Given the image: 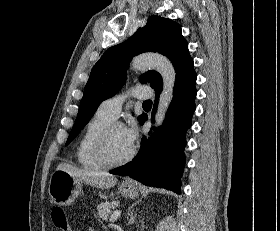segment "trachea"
<instances>
[{
	"instance_id": "obj_1",
	"label": "trachea",
	"mask_w": 280,
	"mask_h": 231,
	"mask_svg": "<svg viewBox=\"0 0 280 231\" xmlns=\"http://www.w3.org/2000/svg\"><path fill=\"white\" fill-rule=\"evenodd\" d=\"M152 107V101L151 100H146V102H143V109L149 110Z\"/></svg>"
}]
</instances>
